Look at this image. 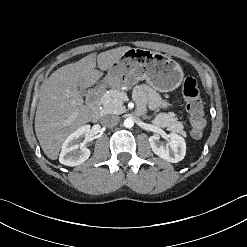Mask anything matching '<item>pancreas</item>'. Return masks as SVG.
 I'll list each match as a JSON object with an SVG mask.
<instances>
[{
  "mask_svg": "<svg viewBox=\"0 0 247 247\" xmlns=\"http://www.w3.org/2000/svg\"><path fill=\"white\" fill-rule=\"evenodd\" d=\"M125 99L126 95L124 92L111 89L102 96L101 104L106 113L121 114L125 111L123 106ZM151 122L158 127L167 128L168 131L179 133L184 137L187 136L182 123L177 120L173 112L159 113Z\"/></svg>",
  "mask_w": 247,
  "mask_h": 247,
  "instance_id": "pancreas-1",
  "label": "pancreas"
}]
</instances>
